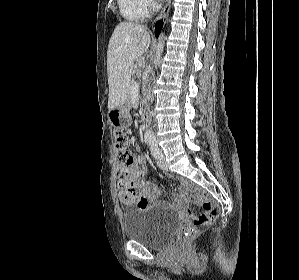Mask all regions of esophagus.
<instances>
[{
	"instance_id": "34e87169",
	"label": "esophagus",
	"mask_w": 299,
	"mask_h": 280,
	"mask_svg": "<svg viewBox=\"0 0 299 280\" xmlns=\"http://www.w3.org/2000/svg\"><path fill=\"white\" fill-rule=\"evenodd\" d=\"M171 7V0H168L167 4L165 5V7L163 8V10L161 11L159 18H164L168 15L169 10Z\"/></svg>"
}]
</instances>
